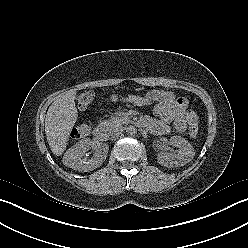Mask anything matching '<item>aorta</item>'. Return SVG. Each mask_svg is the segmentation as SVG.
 Instances as JSON below:
<instances>
[{"instance_id": "obj_1", "label": "aorta", "mask_w": 248, "mask_h": 248, "mask_svg": "<svg viewBox=\"0 0 248 248\" xmlns=\"http://www.w3.org/2000/svg\"><path fill=\"white\" fill-rule=\"evenodd\" d=\"M126 134L128 136H135L137 134V129L133 125H129L126 127Z\"/></svg>"}]
</instances>
